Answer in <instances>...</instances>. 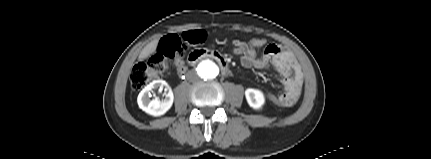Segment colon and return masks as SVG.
<instances>
[{"mask_svg": "<svg viewBox=\"0 0 431 159\" xmlns=\"http://www.w3.org/2000/svg\"><path fill=\"white\" fill-rule=\"evenodd\" d=\"M205 33L201 30L188 31L181 36L171 34L164 37L158 47L156 54L136 64L130 75V83L134 90H140L151 81L160 78L170 70L176 59H181L187 46L195 45L204 41ZM245 49L242 46L229 49L230 55H242ZM271 92L265 93L269 101L276 97Z\"/></svg>", "mask_w": 431, "mask_h": 159, "instance_id": "5ec220e1", "label": "colon"}]
</instances>
